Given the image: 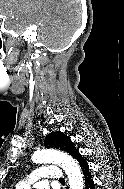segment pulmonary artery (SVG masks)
I'll use <instances>...</instances> for the list:
<instances>
[{"instance_id": "obj_1", "label": "pulmonary artery", "mask_w": 124, "mask_h": 189, "mask_svg": "<svg viewBox=\"0 0 124 189\" xmlns=\"http://www.w3.org/2000/svg\"><path fill=\"white\" fill-rule=\"evenodd\" d=\"M62 177V172L59 167L47 166L35 170L28 178L20 181L17 189H30V186L41 178H49L53 181H57Z\"/></svg>"}]
</instances>
